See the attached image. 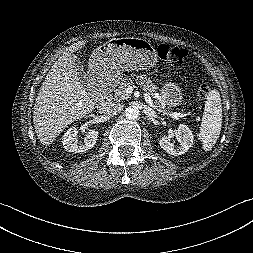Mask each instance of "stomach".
I'll return each mask as SVG.
<instances>
[{"mask_svg": "<svg viewBox=\"0 0 253 253\" xmlns=\"http://www.w3.org/2000/svg\"><path fill=\"white\" fill-rule=\"evenodd\" d=\"M157 62L152 44L141 38H114L97 48L90 59L93 76H118L123 70H145ZM162 101L169 107H176L182 101V89L172 81L161 86Z\"/></svg>", "mask_w": 253, "mask_h": 253, "instance_id": "stomach-1", "label": "stomach"}]
</instances>
